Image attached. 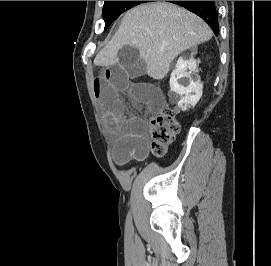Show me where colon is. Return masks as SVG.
I'll list each match as a JSON object with an SVG mask.
<instances>
[{
	"label": "colon",
	"mask_w": 271,
	"mask_h": 266,
	"mask_svg": "<svg viewBox=\"0 0 271 266\" xmlns=\"http://www.w3.org/2000/svg\"><path fill=\"white\" fill-rule=\"evenodd\" d=\"M179 132V124L174 111L165 106L151 121V149L157 156H163L166 148Z\"/></svg>",
	"instance_id": "obj_1"
}]
</instances>
